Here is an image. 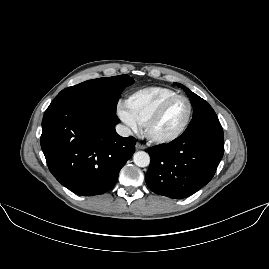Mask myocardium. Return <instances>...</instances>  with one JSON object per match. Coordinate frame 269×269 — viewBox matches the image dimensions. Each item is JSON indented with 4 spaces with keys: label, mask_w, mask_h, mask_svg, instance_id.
Listing matches in <instances>:
<instances>
[{
    "label": "myocardium",
    "mask_w": 269,
    "mask_h": 269,
    "mask_svg": "<svg viewBox=\"0 0 269 269\" xmlns=\"http://www.w3.org/2000/svg\"><path fill=\"white\" fill-rule=\"evenodd\" d=\"M183 99L187 102L188 104V111H187V116L185 119L184 124L182 127L172 136L165 137V138H156L151 134V127L152 125L163 115V113L166 111V109L175 101ZM192 117V104L190 100L183 95H177L174 97H171L167 100H165L163 103H161L146 119L144 126V135L145 137L152 143L156 145H167L172 142H175L178 140L183 134L186 132L188 129V126L190 124Z\"/></svg>",
    "instance_id": "obj_1"
}]
</instances>
